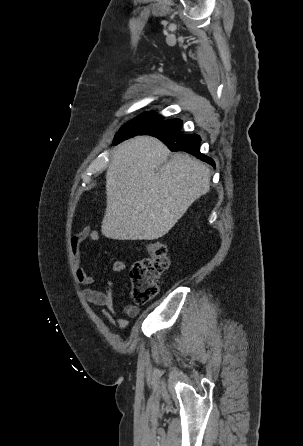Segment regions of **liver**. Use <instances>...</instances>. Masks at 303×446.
Wrapping results in <instances>:
<instances>
[{"label": "liver", "instance_id": "liver-1", "mask_svg": "<svg viewBox=\"0 0 303 446\" xmlns=\"http://www.w3.org/2000/svg\"><path fill=\"white\" fill-rule=\"evenodd\" d=\"M158 139L137 136L115 148L106 172L101 232L115 240H155L169 232L210 187V170L185 153L166 162Z\"/></svg>", "mask_w": 303, "mask_h": 446}]
</instances>
